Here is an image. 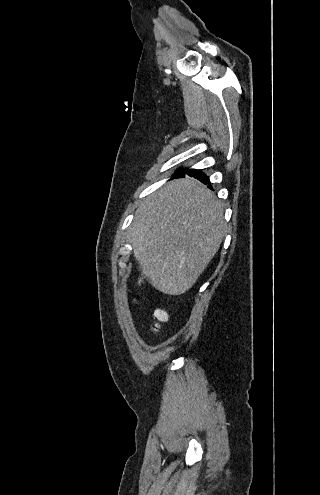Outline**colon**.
Segmentation results:
<instances>
[{
    "label": "colon",
    "instance_id": "5ec220e1",
    "mask_svg": "<svg viewBox=\"0 0 320 495\" xmlns=\"http://www.w3.org/2000/svg\"><path fill=\"white\" fill-rule=\"evenodd\" d=\"M155 318L161 322L165 321L167 319V313L164 310H157L155 312ZM155 327H157V325Z\"/></svg>",
    "mask_w": 320,
    "mask_h": 495
}]
</instances>
